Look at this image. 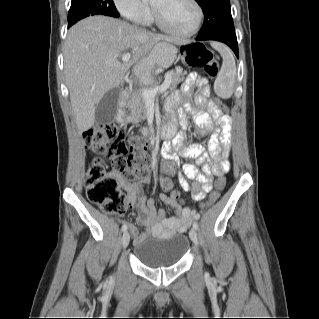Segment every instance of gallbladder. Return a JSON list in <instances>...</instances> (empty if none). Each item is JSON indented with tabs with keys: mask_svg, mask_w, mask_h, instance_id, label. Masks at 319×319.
<instances>
[{
	"mask_svg": "<svg viewBox=\"0 0 319 319\" xmlns=\"http://www.w3.org/2000/svg\"><path fill=\"white\" fill-rule=\"evenodd\" d=\"M120 92V88H113L99 101L95 110L96 124H107L114 121L117 115Z\"/></svg>",
	"mask_w": 319,
	"mask_h": 319,
	"instance_id": "1",
	"label": "gallbladder"
}]
</instances>
